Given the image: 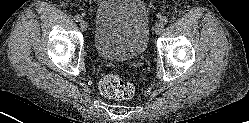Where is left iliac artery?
I'll list each match as a JSON object with an SVG mask.
<instances>
[{
    "label": "left iliac artery",
    "mask_w": 249,
    "mask_h": 123,
    "mask_svg": "<svg viewBox=\"0 0 249 123\" xmlns=\"http://www.w3.org/2000/svg\"><path fill=\"white\" fill-rule=\"evenodd\" d=\"M161 22H162L163 24H167V23H168V18H167V17L161 18Z\"/></svg>",
    "instance_id": "left-iliac-artery-1"
}]
</instances>
